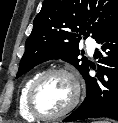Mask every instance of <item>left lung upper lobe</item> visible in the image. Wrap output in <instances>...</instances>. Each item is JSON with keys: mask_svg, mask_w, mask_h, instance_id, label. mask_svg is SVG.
Wrapping results in <instances>:
<instances>
[{"mask_svg": "<svg viewBox=\"0 0 118 123\" xmlns=\"http://www.w3.org/2000/svg\"><path fill=\"white\" fill-rule=\"evenodd\" d=\"M117 17L118 0H46L26 40L17 77L50 59H63L83 75L89 63L78 58L81 35L96 39Z\"/></svg>", "mask_w": 118, "mask_h": 123, "instance_id": "left-lung-upper-lobe-1", "label": "left lung upper lobe"}]
</instances>
